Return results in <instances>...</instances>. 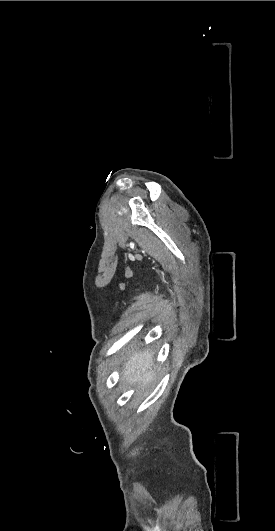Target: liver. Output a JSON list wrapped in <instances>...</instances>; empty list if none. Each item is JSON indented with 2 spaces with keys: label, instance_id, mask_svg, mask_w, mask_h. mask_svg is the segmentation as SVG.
I'll return each mask as SVG.
<instances>
[{
  "label": "liver",
  "instance_id": "liver-1",
  "mask_svg": "<svg viewBox=\"0 0 275 531\" xmlns=\"http://www.w3.org/2000/svg\"><path fill=\"white\" fill-rule=\"evenodd\" d=\"M153 353L151 349H144V351H134L133 355L129 357L123 365L121 381L128 383V385H138L140 389H146L149 383L155 381L157 373L153 371Z\"/></svg>",
  "mask_w": 275,
  "mask_h": 531
}]
</instances>
